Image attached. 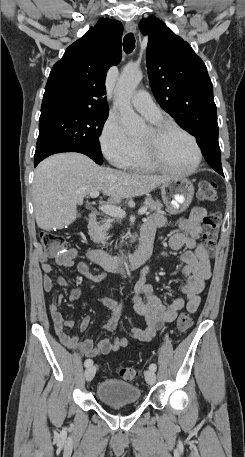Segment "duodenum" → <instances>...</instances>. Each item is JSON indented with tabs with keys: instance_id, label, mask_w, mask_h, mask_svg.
Instances as JSON below:
<instances>
[{
	"instance_id": "obj_1",
	"label": "duodenum",
	"mask_w": 245,
	"mask_h": 457,
	"mask_svg": "<svg viewBox=\"0 0 245 457\" xmlns=\"http://www.w3.org/2000/svg\"><path fill=\"white\" fill-rule=\"evenodd\" d=\"M87 225L93 227L97 223L96 214H89L86 219ZM151 251L146 247L139 248L129 256H114L102 250H92L89 253L90 259L107 270H120L126 268H138L150 257Z\"/></svg>"
}]
</instances>
